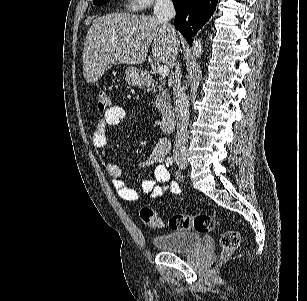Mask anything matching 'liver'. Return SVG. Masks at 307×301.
<instances>
[{
    "instance_id": "obj_1",
    "label": "liver",
    "mask_w": 307,
    "mask_h": 301,
    "mask_svg": "<svg viewBox=\"0 0 307 301\" xmlns=\"http://www.w3.org/2000/svg\"><path fill=\"white\" fill-rule=\"evenodd\" d=\"M179 40H172L168 28L152 14L111 12L94 18L83 46V74L97 82L114 64H142L148 48L155 62L174 66Z\"/></svg>"
}]
</instances>
